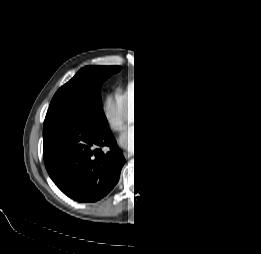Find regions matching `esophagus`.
<instances>
[{
    "label": "esophagus",
    "instance_id": "34e87169",
    "mask_svg": "<svg viewBox=\"0 0 261 254\" xmlns=\"http://www.w3.org/2000/svg\"><path fill=\"white\" fill-rule=\"evenodd\" d=\"M124 156H125V157H129L130 154H129L128 152H124Z\"/></svg>",
    "mask_w": 261,
    "mask_h": 254
}]
</instances>
